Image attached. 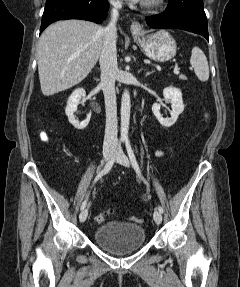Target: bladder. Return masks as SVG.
I'll list each match as a JSON object with an SVG mask.
<instances>
[{"mask_svg":"<svg viewBox=\"0 0 240 287\" xmlns=\"http://www.w3.org/2000/svg\"><path fill=\"white\" fill-rule=\"evenodd\" d=\"M96 245L116 255L139 250L145 244L143 226L123 221H111L100 225L92 235Z\"/></svg>","mask_w":240,"mask_h":287,"instance_id":"1","label":"bladder"}]
</instances>
